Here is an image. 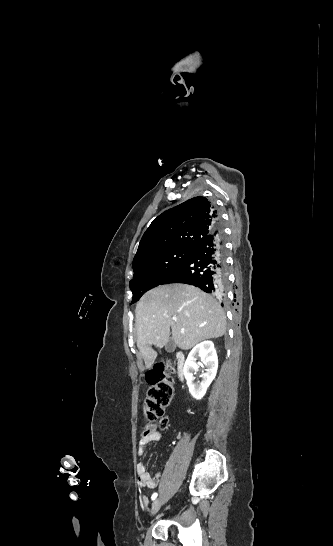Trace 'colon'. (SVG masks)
<instances>
[{"mask_svg": "<svg viewBox=\"0 0 333 546\" xmlns=\"http://www.w3.org/2000/svg\"><path fill=\"white\" fill-rule=\"evenodd\" d=\"M146 379L149 389L143 404L146 421L144 434H149L153 432V428L157 424L162 428L167 427L168 422L164 419V413L173 398L174 385L172 377L166 371L164 362L156 363L147 372Z\"/></svg>", "mask_w": 333, "mask_h": 546, "instance_id": "5ec220e1", "label": "colon"}]
</instances>
